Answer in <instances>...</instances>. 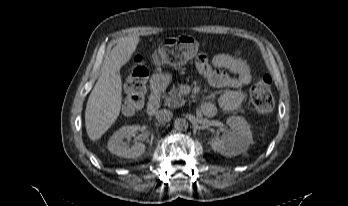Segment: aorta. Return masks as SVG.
<instances>
[{
  "label": "aorta",
  "mask_w": 348,
  "mask_h": 206,
  "mask_svg": "<svg viewBox=\"0 0 348 206\" xmlns=\"http://www.w3.org/2000/svg\"><path fill=\"white\" fill-rule=\"evenodd\" d=\"M174 125H175V128H176L177 130H185V129L188 128V122H187V120L184 119V118H178V119H176Z\"/></svg>",
  "instance_id": "762f6f07"
}]
</instances>
